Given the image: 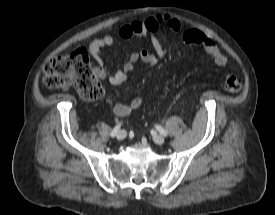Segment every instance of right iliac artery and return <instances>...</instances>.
<instances>
[{
    "mask_svg": "<svg viewBox=\"0 0 275 215\" xmlns=\"http://www.w3.org/2000/svg\"><path fill=\"white\" fill-rule=\"evenodd\" d=\"M120 126H121V123L120 124H118V125H116L115 127H114V129L111 131V137H115L116 136V134L118 133V131H119V129H120Z\"/></svg>",
    "mask_w": 275,
    "mask_h": 215,
    "instance_id": "right-iliac-artery-1",
    "label": "right iliac artery"
}]
</instances>
